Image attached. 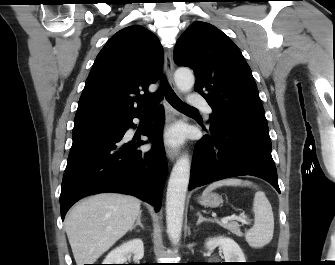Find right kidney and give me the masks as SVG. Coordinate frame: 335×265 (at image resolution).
Returning <instances> with one entry per match:
<instances>
[{"instance_id":"1","label":"right kidney","mask_w":335,"mask_h":265,"mask_svg":"<svg viewBox=\"0 0 335 265\" xmlns=\"http://www.w3.org/2000/svg\"><path fill=\"white\" fill-rule=\"evenodd\" d=\"M130 255H133L134 261L143 258L144 245L141 239L130 240L115 248L106 256L103 264H124Z\"/></svg>"}]
</instances>
